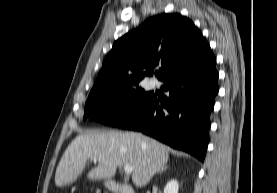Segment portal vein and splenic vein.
Listing matches in <instances>:
<instances>
[{"instance_id":"portal-vein-and-splenic-vein-1","label":"portal vein and splenic vein","mask_w":277,"mask_h":193,"mask_svg":"<svg viewBox=\"0 0 277 193\" xmlns=\"http://www.w3.org/2000/svg\"><path fill=\"white\" fill-rule=\"evenodd\" d=\"M124 171L125 173L130 174L132 173L133 168L131 166H124Z\"/></svg>"}]
</instances>
